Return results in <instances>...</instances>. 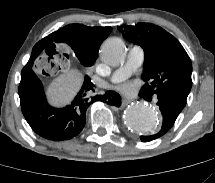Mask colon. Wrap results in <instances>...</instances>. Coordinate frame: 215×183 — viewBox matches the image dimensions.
I'll return each mask as SVG.
<instances>
[{
    "label": "colon",
    "instance_id": "obj_1",
    "mask_svg": "<svg viewBox=\"0 0 215 183\" xmlns=\"http://www.w3.org/2000/svg\"><path fill=\"white\" fill-rule=\"evenodd\" d=\"M71 48L64 41H53L43 48L32 61V72L39 79H50L57 72H63L71 61Z\"/></svg>",
    "mask_w": 215,
    "mask_h": 183
}]
</instances>
